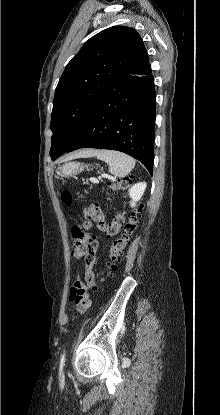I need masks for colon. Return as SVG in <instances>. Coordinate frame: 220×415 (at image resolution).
<instances>
[{"label":"colon","instance_id":"obj_1","mask_svg":"<svg viewBox=\"0 0 220 415\" xmlns=\"http://www.w3.org/2000/svg\"><path fill=\"white\" fill-rule=\"evenodd\" d=\"M130 184L128 178H123L112 183L113 189H125ZM64 202H71L70 194L63 197ZM140 209H134L128 220L124 214H116L110 221H106L102 210L96 204L89 205L83 210V219L72 227L74 244L72 256L85 261L84 282L75 281L70 292V302L79 313H85L90 308L89 290L98 285V280L93 272V266L96 261V242L91 235L93 224L104 232L108 237L113 238L109 252V270L120 259L124 250L128 246L138 224ZM121 232V236L116 238Z\"/></svg>","mask_w":220,"mask_h":415}]
</instances>
